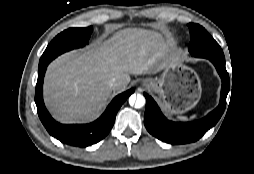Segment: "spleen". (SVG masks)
I'll use <instances>...</instances> for the list:
<instances>
[{"instance_id": "3e777b00", "label": "spleen", "mask_w": 254, "mask_h": 174, "mask_svg": "<svg viewBox=\"0 0 254 174\" xmlns=\"http://www.w3.org/2000/svg\"><path fill=\"white\" fill-rule=\"evenodd\" d=\"M194 117H195V115L192 118H194ZM179 119L187 120V118H185V117H179Z\"/></svg>"}]
</instances>
